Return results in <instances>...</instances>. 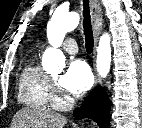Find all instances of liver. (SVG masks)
Wrapping results in <instances>:
<instances>
[{
    "mask_svg": "<svg viewBox=\"0 0 142 128\" xmlns=\"http://www.w3.org/2000/svg\"><path fill=\"white\" fill-rule=\"evenodd\" d=\"M67 119L45 108H23L12 120V128H64Z\"/></svg>",
    "mask_w": 142,
    "mask_h": 128,
    "instance_id": "6515ba94",
    "label": "liver"
}]
</instances>
